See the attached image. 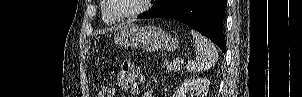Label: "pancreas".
Listing matches in <instances>:
<instances>
[{
    "label": "pancreas",
    "mask_w": 302,
    "mask_h": 97,
    "mask_svg": "<svg viewBox=\"0 0 302 97\" xmlns=\"http://www.w3.org/2000/svg\"><path fill=\"white\" fill-rule=\"evenodd\" d=\"M161 66H162V68H166L167 71H174V72H176V71H178L180 69L177 64L172 63V62H168V61H165L163 63V65H161Z\"/></svg>",
    "instance_id": "pancreas-1"
}]
</instances>
